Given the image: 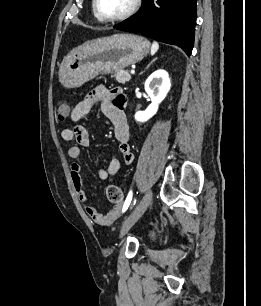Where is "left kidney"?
Wrapping results in <instances>:
<instances>
[{"mask_svg":"<svg viewBox=\"0 0 261 306\" xmlns=\"http://www.w3.org/2000/svg\"><path fill=\"white\" fill-rule=\"evenodd\" d=\"M171 88V81L165 70H157L152 73L145 82V91L151 99V104L144 111H138L135 119L138 122H146L153 117L159 104L165 99Z\"/></svg>","mask_w":261,"mask_h":306,"instance_id":"1","label":"left kidney"}]
</instances>
